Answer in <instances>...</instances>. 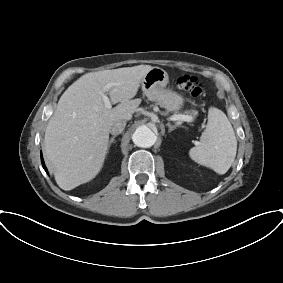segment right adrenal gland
Segmentation results:
<instances>
[{"instance_id": "1", "label": "right adrenal gland", "mask_w": 283, "mask_h": 283, "mask_svg": "<svg viewBox=\"0 0 283 283\" xmlns=\"http://www.w3.org/2000/svg\"><path fill=\"white\" fill-rule=\"evenodd\" d=\"M115 138H116V135H114L113 137L110 138V140L108 142V149L110 148L111 144L114 143Z\"/></svg>"}]
</instances>
